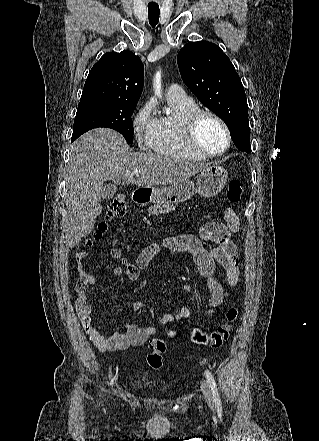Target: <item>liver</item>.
Returning a JSON list of instances; mask_svg holds the SVG:
<instances>
[{
	"mask_svg": "<svg viewBox=\"0 0 319 441\" xmlns=\"http://www.w3.org/2000/svg\"><path fill=\"white\" fill-rule=\"evenodd\" d=\"M209 163H192L152 153L132 152L123 136L111 129H93L70 147L67 166L66 246L73 248L90 234L102 212L104 182L147 188L175 185L197 174ZM140 169L137 179L132 171Z\"/></svg>",
	"mask_w": 319,
	"mask_h": 441,
	"instance_id": "obj_1",
	"label": "liver"
}]
</instances>
